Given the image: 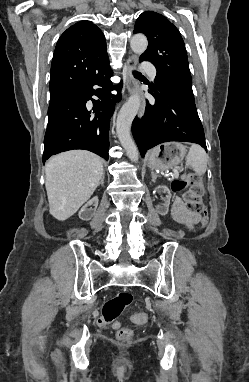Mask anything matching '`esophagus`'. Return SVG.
Returning a JSON list of instances; mask_svg holds the SVG:
<instances>
[{
    "label": "esophagus",
    "instance_id": "obj_1",
    "mask_svg": "<svg viewBox=\"0 0 249 382\" xmlns=\"http://www.w3.org/2000/svg\"><path fill=\"white\" fill-rule=\"evenodd\" d=\"M138 62V58L136 55H131L124 68V72L126 75V88L129 94L136 93L138 90V83L136 79L132 75V71L136 68ZM144 114V101H142L141 108L139 110V118H141Z\"/></svg>",
    "mask_w": 249,
    "mask_h": 382
}]
</instances>
